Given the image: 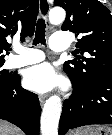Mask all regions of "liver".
Masks as SVG:
<instances>
[{
  "mask_svg": "<svg viewBox=\"0 0 112 135\" xmlns=\"http://www.w3.org/2000/svg\"><path fill=\"white\" fill-rule=\"evenodd\" d=\"M0 135H23V132L16 126L0 120Z\"/></svg>",
  "mask_w": 112,
  "mask_h": 135,
  "instance_id": "liver-1",
  "label": "liver"
}]
</instances>
